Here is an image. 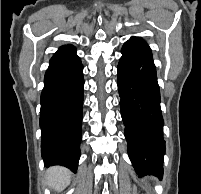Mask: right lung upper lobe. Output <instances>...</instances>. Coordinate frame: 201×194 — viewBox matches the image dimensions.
I'll use <instances>...</instances> for the list:
<instances>
[{
	"mask_svg": "<svg viewBox=\"0 0 201 194\" xmlns=\"http://www.w3.org/2000/svg\"><path fill=\"white\" fill-rule=\"evenodd\" d=\"M78 57L76 55V50L73 45H64L59 48V50L54 54V56L50 59V62L67 60Z\"/></svg>",
	"mask_w": 201,
	"mask_h": 194,
	"instance_id": "obj_1",
	"label": "right lung upper lobe"
}]
</instances>
